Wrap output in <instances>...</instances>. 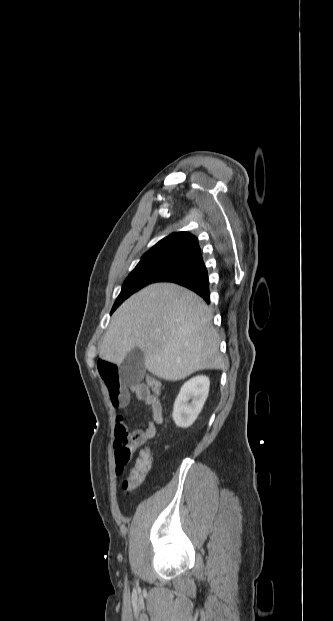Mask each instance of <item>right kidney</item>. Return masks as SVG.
<instances>
[{"label": "right kidney", "instance_id": "ca27d5eb", "mask_svg": "<svg viewBox=\"0 0 333 621\" xmlns=\"http://www.w3.org/2000/svg\"><path fill=\"white\" fill-rule=\"evenodd\" d=\"M209 386V378L201 375L190 379L181 387L173 408L176 426L187 428L194 423L207 399Z\"/></svg>", "mask_w": 333, "mask_h": 621}]
</instances>
